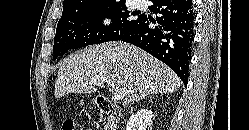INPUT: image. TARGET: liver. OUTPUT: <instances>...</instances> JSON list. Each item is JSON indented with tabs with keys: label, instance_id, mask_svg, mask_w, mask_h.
I'll return each instance as SVG.
<instances>
[{
	"label": "liver",
	"instance_id": "liver-1",
	"mask_svg": "<svg viewBox=\"0 0 249 130\" xmlns=\"http://www.w3.org/2000/svg\"><path fill=\"white\" fill-rule=\"evenodd\" d=\"M92 79L117 83L124 91V106L147 95L175 92L181 85L168 66L145 51L128 43L107 42L63 60L57 73L55 98L96 92Z\"/></svg>",
	"mask_w": 249,
	"mask_h": 130
}]
</instances>
